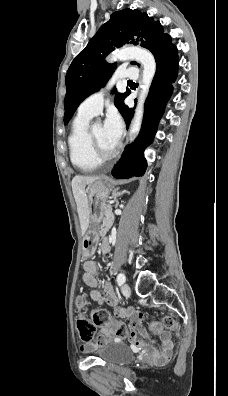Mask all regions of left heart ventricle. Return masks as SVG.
<instances>
[{"label":"left heart ventricle","mask_w":228,"mask_h":396,"mask_svg":"<svg viewBox=\"0 0 228 396\" xmlns=\"http://www.w3.org/2000/svg\"><path fill=\"white\" fill-rule=\"evenodd\" d=\"M92 130L100 148L104 152H112L116 148L117 145L108 138L103 125L98 124Z\"/></svg>","instance_id":"b2bd125f"}]
</instances>
